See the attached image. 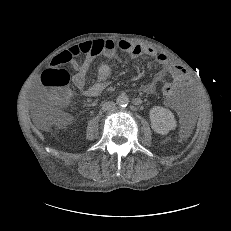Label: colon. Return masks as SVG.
<instances>
[{"label":"colon","instance_id":"5ec220e1","mask_svg":"<svg viewBox=\"0 0 231 231\" xmlns=\"http://www.w3.org/2000/svg\"><path fill=\"white\" fill-rule=\"evenodd\" d=\"M65 59L66 57L63 55L57 56L54 59L55 68L47 69L42 75V83L45 86V95L49 103L42 114L44 124L48 127L62 126L67 119L64 108L69 104L70 100V91L68 89L70 75L66 70L56 68ZM55 60L57 61L55 62ZM161 92L166 97L174 98L178 89L174 81L166 80L161 84Z\"/></svg>","mask_w":231,"mask_h":231}]
</instances>
